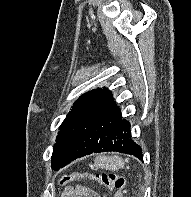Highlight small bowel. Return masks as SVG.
<instances>
[{
    "mask_svg": "<svg viewBox=\"0 0 191 197\" xmlns=\"http://www.w3.org/2000/svg\"><path fill=\"white\" fill-rule=\"evenodd\" d=\"M62 197H99V195L83 186H68L64 189Z\"/></svg>",
    "mask_w": 191,
    "mask_h": 197,
    "instance_id": "c3829d8e",
    "label": "small bowel"
}]
</instances>
